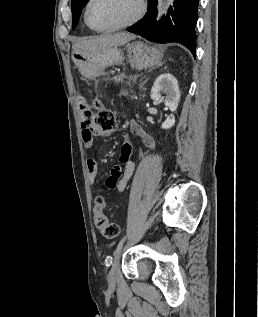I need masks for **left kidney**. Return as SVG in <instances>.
<instances>
[{
	"label": "left kidney",
	"mask_w": 258,
	"mask_h": 317,
	"mask_svg": "<svg viewBox=\"0 0 258 317\" xmlns=\"http://www.w3.org/2000/svg\"><path fill=\"white\" fill-rule=\"evenodd\" d=\"M165 92L166 96H162ZM151 98H158V100H164V104L170 108V110H176L178 102L180 100V90L178 86V80L170 74V72H164L157 76L152 88ZM175 122L174 114H169L166 120L162 122L161 128H171Z\"/></svg>",
	"instance_id": "left-kidney-1"
}]
</instances>
